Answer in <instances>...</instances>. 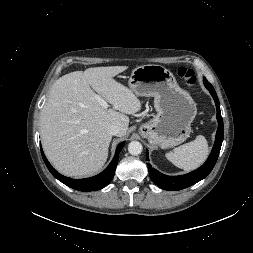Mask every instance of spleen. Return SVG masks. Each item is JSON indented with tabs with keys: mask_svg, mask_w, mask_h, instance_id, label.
<instances>
[{
	"mask_svg": "<svg viewBox=\"0 0 253 253\" xmlns=\"http://www.w3.org/2000/svg\"><path fill=\"white\" fill-rule=\"evenodd\" d=\"M209 154L207 140L199 135L195 140L166 153V158L176 167L191 171L204 163Z\"/></svg>",
	"mask_w": 253,
	"mask_h": 253,
	"instance_id": "spleen-1",
	"label": "spleen"
}]
</instances>
